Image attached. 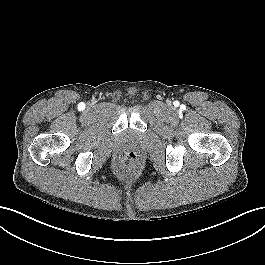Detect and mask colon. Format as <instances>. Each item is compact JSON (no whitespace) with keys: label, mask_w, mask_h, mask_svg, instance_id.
Segmentation results:
<instances>
[{"label":"colon","mask_w":265,"mask_h":265,"mask_svg":"<svg viewBox=\"0 0 265 265\" xmlns=\"http://www.w3.org/2000/svg\"><path fill=\"white\" fill-rule=\"evenodd\" d=\"M137 166V155L134 152L126 151L120 154L116 170L119 174L126 175L135 170Z\"/></svg>","instance_id":"1"}]
</instances>
